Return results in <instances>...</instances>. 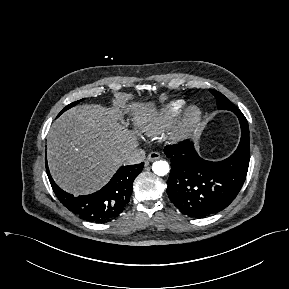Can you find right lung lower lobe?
I'll use <instances>...</instances> for the list:
<instances>
[{"label":"right lung lower lobe","instance_id":"obj_1","mask_svg":"<svg viewBox=\"0 0 289 289\" xmlns=\"http://www.w3.org/2000/svg\"><path fill=\"white\" fill-rule=\"evenodd\" d=\"M144 163L122 166L101 190L83 196L63 191L46 169L52 189L59 201L80 218L96 223L114 219L126 206L132 193L133 181L142 171Z\"/></svg>","mask_w":289,"mask_h":289}]
</instances>
